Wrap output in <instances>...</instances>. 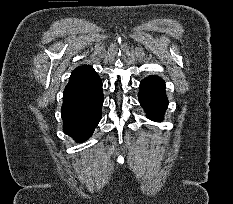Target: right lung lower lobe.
I'll return each instance as SVG.
<instances>
[{
	"label": "right lung lower lobe",
	"mask_w": 233,
	"mask_h": 204,
	"mask_svg": "<svg viewBox=\"0 0 233 204\" xmlns=\"http://www.w3.org/2000/svg\"><path fill=\"white\" fill-rule=\"evenodd\" d=\"M104 101L100 77L89 70L70 78L63 94V130L77 142L88 139L101 119Z\"/></svg>",
	"instance_id": "obj_1"
}]
</instances>
